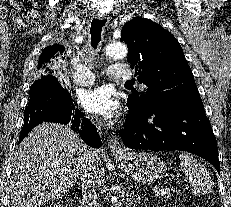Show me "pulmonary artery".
<instances>
[{
    "label": "pulmonary artery",
    "mask_w": 231,
    "mask_h": 207,
    "mask_svg": "<svg viewBox=\"0 0 231 207\" xmlns=\"http://www.w3.org/2000/svg\"><path fill=\"white\" fill-rule=\"evenodd\" d=\"M108 75L113 79L128 80L132 77V71L127 66L115 64L108 68ZM72 80L76 85L87 86L94 82L95 76L89 68L80 66L72 76Z\"/></svg>",
    "instance_id": "obj_1"
}]
</instances>
